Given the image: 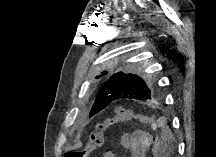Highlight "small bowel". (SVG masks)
<instances>
[{"label": "small bowel", "mask_w": 216, "mask_h": 157, "mask_svg": "<svg viewBox=\"0 0 216 157\" xmlns=\"http://www.w3.org/2000/svg\"><path fill=\"white\" fill-rule=\"evenodd\" d=\"M153 137L146 131H135L131 134H124L120 138V145L123 148L129 149L131 157H145L151 149ZM104 157H114V152L108 150Z\"/></svg>", "instance_id": "obj_1"}]
</instances>
